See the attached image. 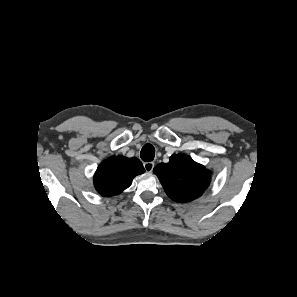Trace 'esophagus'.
Instances as JSON below:
<instances>
[{
  "label": "esophagus",
  "mask_w": 297,
  "mask_h": 297,
  "mask_svg": "<svg viewBox=\"0 0 297 297\" xmlns=\"http://www.w3.org/2000/svg\"><path fill=\"white\" fill-rule=\"evenodd\" d=\"M143 166L147 172H152V170L154 168V163L153 162H145L143 164Z\"/></svg>",
  "instance_id": "obj_1"
}]
</instances>
